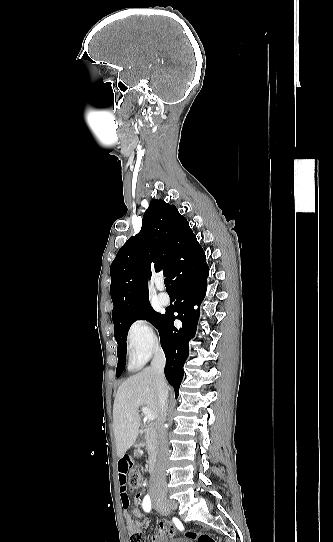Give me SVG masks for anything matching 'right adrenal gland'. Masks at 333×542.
Instances as JSON below:
<instances>
[{"mask_svg":"<svg viewBox=\"0 0 333 542\" xmlns=\"http://www.w3.org/2000/svg\"><path fill=\"white\" fill-rule=\"evenodd\" d=\"M167 408H168V404H166V410H167Z\"/></svg>","mask_w":333,"mask_h":542,"instance_id":"obj_1","label":"right adrenal gland"}]
</instances>
